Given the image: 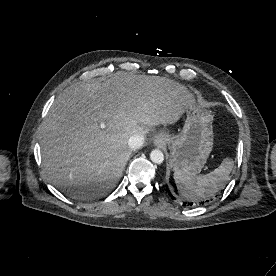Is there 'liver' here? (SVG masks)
Here are the masks:
<instances>
[{"label":"liver","mask_w":276,"mask_h":276,"mask_svg":"<svg viewBox=\"0 0 276 276\" xmlns=\"http://www.w3.org/2000/svg\"><path fill=\"white\" fill-rule=\"evenodd\" d=\"M194 105L184 85L160 76L117 73L68 87L41 129L49 181L75 199L103 195L122 176L132 135L176 123Z\"/></svg>","instance_id":"1"}]
</instances>
